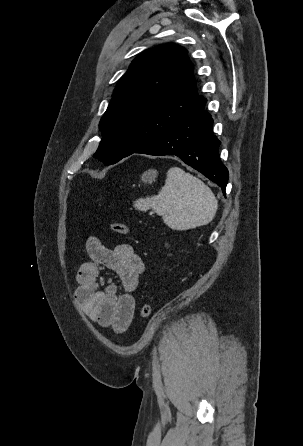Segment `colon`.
Returning a JSON list of instances; mask_svg holds the SVG:
<instances>
[{
	"mask_svg": "<svg viewBox=\"0 0 303 446\" xmlns=\"http://www.w3.org/2000/svg\"><path fill=\"white\" fill-rule=\"evenodd\" d=\"M110 228L112 231L120 235H126L129 232V227L126 224L120 222H111ZM151 311H152V306L146 303L141 308V316L148 317L151 314Z\"/></svg>",
	"mask_w": 303,
	"mask_h": 446,
	"instance_id": "1",
	"label": "colon"
}]
</instances>
